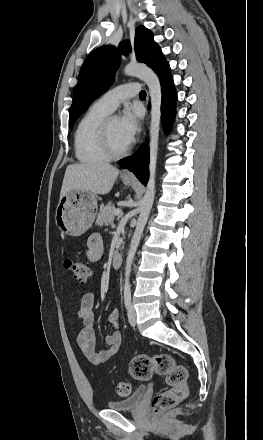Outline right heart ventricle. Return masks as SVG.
I'll list each match as a JSON object with an SVG mask.
<instances>
[{
	"instance_id": "obj_1",
	"label": "right heart ventricle",
	"mask_w": 263,
	"mask_h": 440,
	"mask_svg": "<svg viewBox=\"0 0 263 440\" xmlns=\"http://www.w3.org/2000/svg\"><path fill=\"white\" fill-rule=\"evenodd\" d=\"M110 112L94 103L81 117L75 130L74 151L82 163H96L107 160L99 144V127Z\"/></svg>"
}]
</instances>
